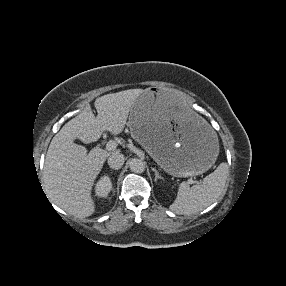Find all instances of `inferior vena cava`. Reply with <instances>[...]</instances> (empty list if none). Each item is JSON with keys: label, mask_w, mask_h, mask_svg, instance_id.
Segmentation results:
<instances>
[{"label": "inferior vena cava", "mask_w": 286, "mask_h": 286, "mask_svg": "<svg viewBox=\"0 0 286 286\" xmlns=\"http://www.w3.org/2000/svg\"><path fill=\"white\" fill-rule=\"evenodd\" d=\"M125 161V157L123 154L119 153V152H115L112 155H110V157L108 158V165L112 168V169H120Z\"/></svg>", "instance_id": "1"}]
</instances>
